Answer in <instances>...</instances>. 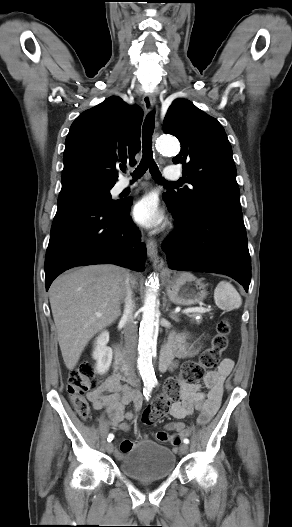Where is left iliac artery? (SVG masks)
I'll return each mask as SVG.
<instances>
[{"mask_svg": "<svg viewBox=\"0 0 292 527\" xmlns=\"http://www.w3.org/2000/svg\"><path fill=\"white\" fill-rule=\"evenodd\" d=\"M183 442H184L185 444H188V443H189V439L185 438V439L183 440Z\"/></svg>", "mask_w": 292, "mask_h": 527, "instance_id": "1", "label": "left iliac artery"}]
</instances>
